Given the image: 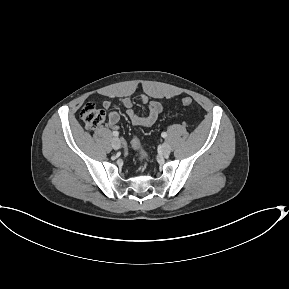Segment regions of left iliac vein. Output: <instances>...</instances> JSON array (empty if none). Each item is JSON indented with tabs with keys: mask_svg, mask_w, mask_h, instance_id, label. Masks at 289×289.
Here are the masks:
<instances>
[{
	"mask_svg": "<svg viewBox=\"0 0 289 289\" xmlns=\"http://www.w3.org/2000/svg\"><path fill=\"white\" fill-rule=\"evenodd\" d=\"M162 152H163L165 155L170 154V152H171V146H170L168 143H163V145H162Z\"/></svg>",
	"mask_w": 289,
	"mask_h": 289,
	"instance_id": "obj_1",
	"label": "left iliac vein"
}]
</instances>
